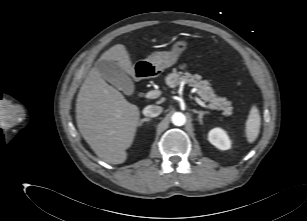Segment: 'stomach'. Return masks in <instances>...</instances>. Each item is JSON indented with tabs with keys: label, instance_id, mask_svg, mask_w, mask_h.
<instances>
[{
	"label": "stomach",
	"instance_id": "0dacf381",
	"mask_svg": "<svg viewBox=\"0 0 307 221\" xmlns=\"http://www.w3.org/2000/svg\"><path fill=\"white\" fill-rule=\"evenodd\" d=\"M188 43L184 40L173 44L170 51H160L149 55L146 59L139 60L135 68L141 69L143 77L156 76L157 73L174 65L180 55L186 51Z\"/></svg>",
	"mask_w": 307,
	"mask_h": 221
}]
</instances>
